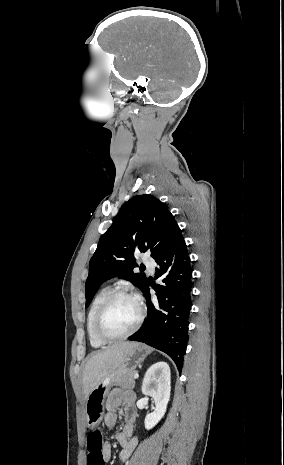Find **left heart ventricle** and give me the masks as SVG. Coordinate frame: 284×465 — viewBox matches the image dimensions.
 Masks as SVG:
<instances>
[{
  "mask_svg": "<svg viewBox=\"0 0 284 465\" xmlns=\"http://www.w3.org/2000/svg\"><path fill=\"white\" fill-rule=\"evenodd\" d=\"M139 318L136 303L129 298L116 300L101 323V332L108 337H121L131 331Z\"/></svg>",
  "mask_w": 284,
  "mask_h": 465,
  "instance_id": "1",
  "label": "left heart ventricle"
}]
</instances>
